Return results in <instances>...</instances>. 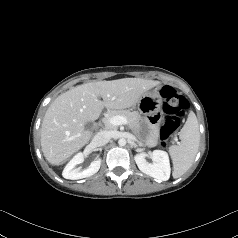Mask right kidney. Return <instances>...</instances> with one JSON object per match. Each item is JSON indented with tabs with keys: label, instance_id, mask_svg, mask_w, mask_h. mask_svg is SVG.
<instances>
[{
	"label": "right kidney",
	"instance_id": "obj_1",
	"mask_svg": "<svg viewBox=\"0 0 238 238\" xmlns=\"http://www.w3.org/2000/svg\"><path fill=\"white\" fill-rule=\"evenodd\" d=\"M84 161V155L82 153L76 154L69 163L65 166L63 170V177L66 179L77 180L86 177H90L93 174L97 173L100 169L101 159L97 157L90 166L81 171L80 168H75L76 165L82 163Z\"/></svg>",
	"mask_w": 238,
	"mask_h": 238
}]
</instances>
